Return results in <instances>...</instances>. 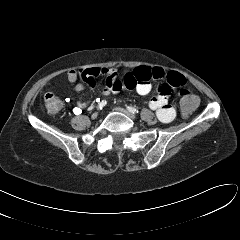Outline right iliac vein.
Wrapping results in <instances>:
<instances>
[{
    "label": "right iliac vein",
    "instance_id": "63e3f726",
    "mask_svg": "<svg viewBox=\"0 0 240 240\" xmlns=\"http://www.w3.org/2000/svg\"><path fill=\"white\" fill-rule=\"evenodd\" d=\"M97 116H98V113H97V112H95V113H93V114L91 115V118H92V119H96V118H97Z\"/></svg>",
    "mask_w": 240,
    "mask_h": 240
}]
</instances>
